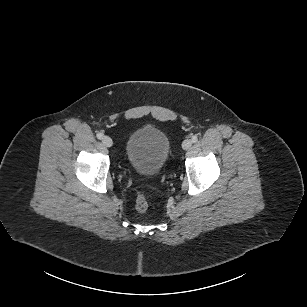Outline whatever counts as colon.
<instances>
[{"mask_svg": "<svg viewBox=\"0 0 307 307\" xmlns=\"http://www.w3.org/2000/svg\"><path fill=\"white\" fill-rule=\"evenodd\" d=\"M149 203H148V197L145 194L139 195L135 200V209L143 213L148 209Z\"/></svg>", "mask_w": 307, "mask_h": 307, "instance_id": "5ec220e1", "label": "colon"}]
</instances>
